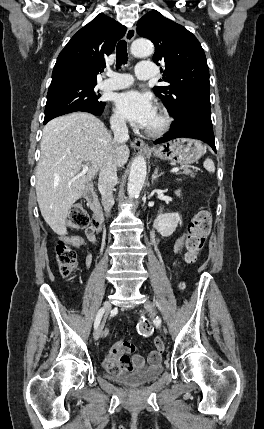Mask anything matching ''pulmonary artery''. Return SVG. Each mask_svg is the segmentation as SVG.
Here are the masks:
<instances>
[{
  "label": "pulmonary artery",
  "mask_w": 264,
  "mask_h": 429,
  "mask_svg": "<svg viewBox=\"0 0 264 429\" xmlns=\"http://www.w3.org/2000/svg\"><path fill=\"white\" fill-rule=\"evenodd\" d=\"M137 78L146 80L155 75L154 64L151 62H141L136 67ZM108 78L100 83V88L104 90H119L129 87L133 83V77L127 73L107 72Z\"/></svg>",
  "instance_id": "1"
}]
</instances>
